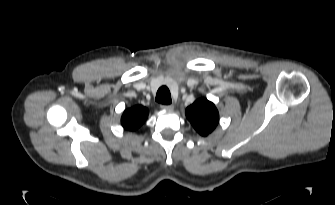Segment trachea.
I'll return each instance as SVG.
<instances>
[{"label": "trachea", "instance_id": "obj_1", "mask_svg": "<svg viewBox=\"0 0 335 205\" xmlns=\"http://www.w3.org/2000/svg\"><path fill=\"white\" fill-rule=\"evenodd\" d=\"M156 101L161 103V104H170L172 102L171 99V94L166 86H162L158 89L157 94H156Z\"/></svg>", "mask_w": 335, "mask_h": 205}]
</instances>
